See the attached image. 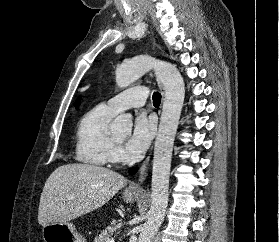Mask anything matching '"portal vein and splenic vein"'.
I'll return each instance as SVG.
<instances>
[{"mask_svg":"<svg viewBox=\"0 0 279 242\" xmlns=\"http://www.w3.org/2000/svg\"><path fill=\"white\" fill-rule=\"evenodd\" d=\"M106 242H115L114 238H109Z\"/></svg>","mask_w":279,"mask_h":242,"instance_id":"portal-vein-and-splenic-vein-1","label":"portal vein and splenic vein"}]
</instances>
